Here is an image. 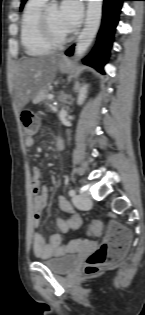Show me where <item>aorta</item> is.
<instances>
[{
  "label": "aorta",
  "mask_w": 145,
  "mask_h": 315,
  "mask_svg": "<svg viewBox=\"0 0 145 315\" xmlns=\"http://www.w3.org/2000/svg\"><path fill=\"white\" fill-rule=\"evenodd\" d=\"M56 8V5H53ZM102 0H89L85 25L78 37L75 47V56L81 59L86 53L88 47L92 43L101 21Z\"/></svg>",
  "instance_id": "762f6f07"
}]
</instances>
